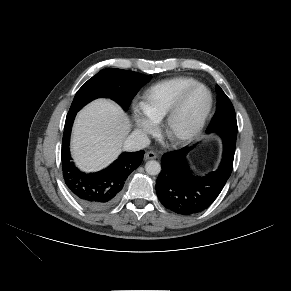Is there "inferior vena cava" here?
Here are the masks:
<instances>
[{
  "mask_svg": "<svg viewBox=\"0 0 291 291\" xmlns=\"http://www.w3.org/2000/svg\"><path fill=\"white\" fill-rule=\"evenodd\" d=\"M150 144V139L146 134L139 130L133 131L124 141V149L126 151H138Z\"/></svg>",
  "mask_w": 291,
  "mask_h": 291,
  "instance_id": "obj_1",
  "label": "inferior vena cava"
}]
</instances>
